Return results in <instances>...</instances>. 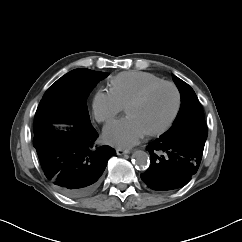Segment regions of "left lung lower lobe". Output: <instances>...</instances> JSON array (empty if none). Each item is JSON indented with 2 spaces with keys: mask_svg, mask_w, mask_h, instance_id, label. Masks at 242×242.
Listing matches in <instances>:
<instances>
[{
  "mask_svg": "<svg viewBox=\"0 0 242 242\" xmlns=\"http://www.w3.org/2000/svg\"><path fill=\"white\" fill-rule=\"evenodd\" d=\"M205 141H172L159 137L147 146L151 164L141 174L145 184L156 191H168L185 186L197 172Z\"/></svg>",
  "mask_w": 242,
  "mask_h": 242,
  "instance_id": "1",
  "label": "left lung lower lobe"
}]
</instances>
